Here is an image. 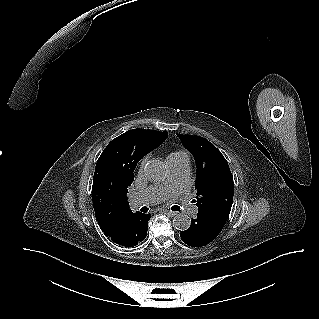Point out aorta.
<instances>
[{"label":"aorta","instance_id":"762f6f07","mask_svg":"<svg viewBox=\"0 0 319 319\" xmlns=\"http://www.w3.org/2000/svg\"><path fill=\"white\" fill-rule=\"evenodd\" d=\"M145 176L153 181V182H160L166 178L167 175V168L164 162L153 159L147 162L144 167ZM191 220L188 215L179 213L176 214L173 218V227L184 231L190 227Z\"/></svg>","mask_w":319,"mask_h":319}]
</instances>
